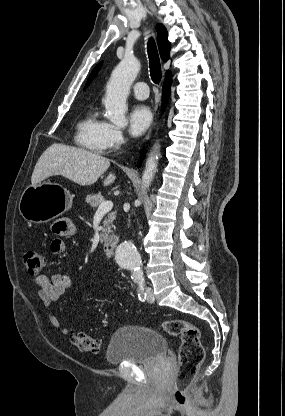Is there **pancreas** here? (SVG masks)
Masks as SVG:
<instances>
[{"label":"pancreas","instance_id":"1","mask_svg":"<svg viewBox=\"0 0 285 416\" xmlns=\"http://www.w3.org/2000/svg\"><path fill=\"white\" fill-rule=\"evenodd\" d=\"M87 204H90L91 208H98L102 202H105L103 196L101 194H91V196H87L86 198ZM116 214L117 212H110L108 214L107 218H105L102 228V232L100 234V240L101 242H104L105 238H107L108 234H111L112 232V222L116 220Z\"/></svg>","mask_w":285,"mask_h":416}]
</instances>
